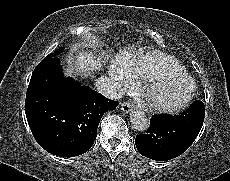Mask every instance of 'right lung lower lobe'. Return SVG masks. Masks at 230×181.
<instances>
[{
    "label": "right lung lower lobe",
    "instance_id": "obj_1",
    "mask_svg": "<svg viewBox=\"0 0 230 181\" xmlns=\"http://www.w3.org/2000/svg\"><path fill=\"white\" fill-rule=\"evenodd\" d=\"M58 57L41 61L27 89L25 113L37 143L47 152L74 157L87 152L106 111L118 102L73 79H61Z\"/></svg>",
    "mask_w": 230,
    "mask_h": 181
}]
</instances>
